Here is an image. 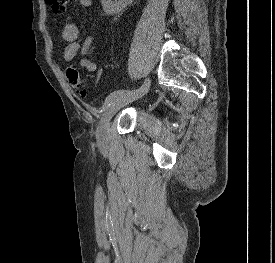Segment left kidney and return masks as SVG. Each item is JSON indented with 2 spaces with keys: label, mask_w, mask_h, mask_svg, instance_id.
<instances>
[{
  "label": "left kidney",
  "mask_w": 275,
  "mask_h": 263,
  "mask_svg": "<svg viewBox=\"0 0 275 263\" xmlns=\"http://www.w3.org/2000/svg\"><path fill=\"white\" fill-rule=\"evenodd\" d=\"M132 0H101L106 14L113 15L122 11Z\"/></svg>",
  "instance_id": "left-kidney-1"
}]
</instances>
